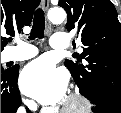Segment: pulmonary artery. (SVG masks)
Masks as SVG:
<instances>
[{
  "mask_svg": "<svg viewBox=\"0 0 121 113\" xmlns=\"http://www.w3.org/2000/svg\"><path fill=\"white\" fill-rule=\"evenodd\" d=\"M50 45L53 49L63 51L68 49V38L66 34L55 33L51 37ZM38 53L37 49L30 44L23 43L16 49H11L7 53L8 60L23 61L28 60Z\"/></svg>",
  "mask_w": 121,
  "mask_h": 113,
  "instance_id": "pulmonary-artery-1",
  "label": "pulmonary artery"
}]
</instances>
